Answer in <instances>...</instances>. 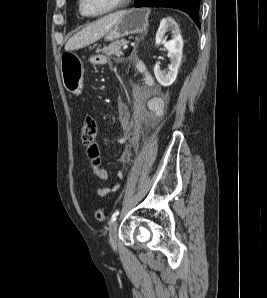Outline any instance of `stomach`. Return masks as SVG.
Here are the masks:
<instances>
[{"mask_svg":"<svg viewBox=\"0 0 267 298\" xmlns=\"http://www.w3.org/2000/svg\"><path fill=\"white\" fill-rule=\"evenodd\" d=\"M150 9L134 8L122 11V15L105 34L107 41H114L130 34L144 33L149 26ZM60 69L63 85L74 95H79L83 89L84 70L80 59L72 52L60 56Z\"/></svg>","mask_w":267,"mask_h":298,"instance_id":"1","label":"stomach"}]
</instances>
